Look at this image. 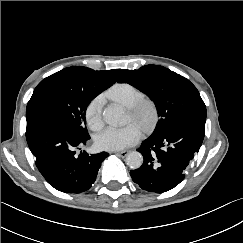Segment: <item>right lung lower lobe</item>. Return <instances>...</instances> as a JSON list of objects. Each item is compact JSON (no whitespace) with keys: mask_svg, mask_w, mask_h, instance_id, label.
Wrapping results in <instances>:
<instances>
[{"mask_svg":"<svg viewBox=\"0 0 243 243\" xmlns=\"http://www.w3.org/2000/svg\"><path fill=\"white\" fill-rule=\"evenodd\" d=\"M26 139L35 156V164L55 189L64 193L88 190L94 181L106 152L88 155L76 153L89 135H80L63 118L45 110L26 113Z\"/></svg>","mask_w":243,"mask_h":243,"instance_id":"98d812e1","label":"right lung lower lobe"}]
</instances>
